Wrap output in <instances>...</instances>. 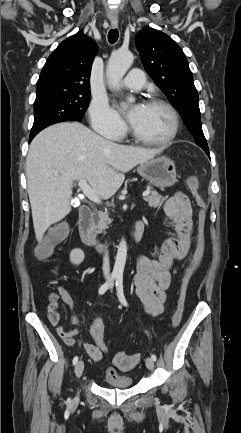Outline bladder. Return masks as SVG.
Wrapping results in <instances>:
<instances>
[{
    "instance_id": "1",
    "label": "bladder",
    "mask_w": 241,
    "mask_h": 433,
    "mask_svg": "<svg viewBox=\"0 0 241 433\" xmlns=\"http://www.w3.org/2000/svg\"><path fill=\"white\" fill-rule=\"evenodd\" d=\"M105 386L113 389H127L133 385V380L129 375L120 373H106L104 375Z\"/></svg>"
}]
</instances>
